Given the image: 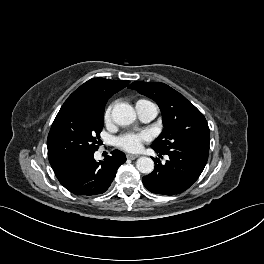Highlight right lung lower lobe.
Segmentation results:
<instances>
[{"mask_svg":"<svg viewBox=\"0 0 264 264\" xmlns=\"http://www.w3.org/2000/svg\"><path fill=\"white\" fill-rule=\"evenodd\" d=\"M125 155L114 150L104 161L96 162L94 152H75L50 162L59 182L75 195L104 193L111 185Z\"/></svg>","mask_w":264,"mask_h":264,"instance_id":"obj_1","label":"right lung lower lobe"}]
</instances>
